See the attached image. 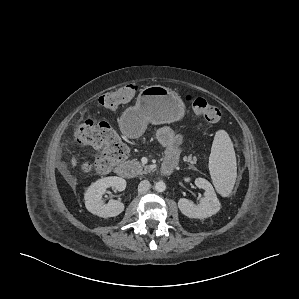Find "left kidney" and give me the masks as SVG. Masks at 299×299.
I'll return each instance as SVG.
<instances>
[{
    "instance_id": "obj_1",
    "label": "left kidney",
    "mask_w": 299,
    "mask_h": 299,
    "mask_svg": "<svg viewBox=\"0 0 299 299\" xmlns=\"http://www.w3.org/2000/svg\"><path fill=\"white\" fill-rule=\"evenodd\" d=\"M185 181L188 182L189 178H185ZM195 185L205 190V197L201 199L198 205L193 204L188 199L181 198L178 201L180 211L189 218L198 219H204L216 214L220 210L221 204L211 183L204 178H197Z\"/></svg>"
}]
</instances>
